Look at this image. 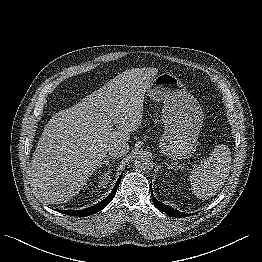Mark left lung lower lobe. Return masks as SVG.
I'll return each mask as SVG.
<instances>
[{
    "label": "left lung lower lobe",
    "mask_w": 262,
    "mask_h": 262,
    "mask_svg": "<svg viewBox=\"0 0 262 262\" xmlns=\"http://www.w3.org/2000/svg\"><path fill=\"white\" fill-rule=\"evenodd\" d=\"M151 196H152V200L154 202V205L156 208H158L159 210L167 213L168 215L172 216V217H187L191 214H185V213H182L178 210H175L174 208L170 207V206H167V205H164L163 203L159 202L153 195L152 193V190H151ZM193 215V214H192Z\"/></svg>",
    "instance_id": "obj_1"
}]
</instances>
